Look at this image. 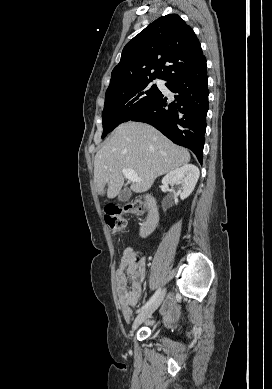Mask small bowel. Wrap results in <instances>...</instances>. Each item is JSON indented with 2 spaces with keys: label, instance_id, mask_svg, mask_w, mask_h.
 Segmentation results:
<instances>
[{
  "label": "small bowel",
  "instance_id": "small-bowel-1",
  "mask_svg": "<svg viewBox=\"0 0 272 389\" xmlns=\"http://www.w3.org/2000/svg\"><path fill=\"white\" fill-rule=\"evenodd\" d=\"M145 278V265L136 260L133 250L127 248L116 270V285L121 313L126 322L132 315V308L141 297V287ZM130 283V286L128 284ZM170 306V303H169Z\"/></svg>",
  "mask_w": 272,
  "mask_h": 389
}]
</instances>
